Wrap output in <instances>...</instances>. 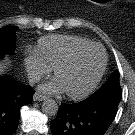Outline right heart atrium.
<instances>
[{
  "instance_id": "obj_1",
  "label": "right heart atrium",
  "mask_w": 135,
  "mask_h": 135,
  "mask_svg": "<svg viewBox=\"0 0 135 135\" xmlns=\"http://www.w3.org/2000/svg\"><path fill=\"white\" fill-rule=\"evenodd\" d=\"M25 69L31 81L35 82L49 73V67L36 51L28 52L23 59Z\"/></svg>"
}]
</instances>
